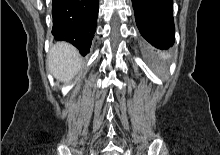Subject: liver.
<instances>
[{
    "instance_id": "obj_1",
    "label": "liver",
    "mask_w": 220,
    "mask_h": 155,
    "mask_svg": "<svg viewBox=\"0 0 220 155\" xmlns=\"http://www.w3.org/2000/svg\"><path fill=\"white\" fill-rule=\"evenodd\" d=\"M47 64L54 77L64 83L71 81L82 67L76 48L65 42H58L50 49Z\"/></svg>"
}]
</instances>
